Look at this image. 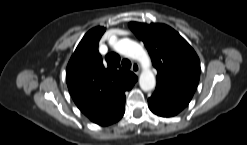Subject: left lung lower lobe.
Returning <instances> with one entry per match:
<instances>
[{"mask_svg": "<svg viewBox=\"0 0 247 145\" xmlns=\"http://www.w3.org/2000/svg\"><path fill=\"white\" fill-rule=\"evenodd\" d=\"M191 98L174 92L163 86H156L153 95L148 99L150 110L161 117H171L182 111Z\"/></svg>", "mask_w": 247, "mask_h": 145, "instance_id": "left-lung-lower-lobe-1", "label": "left lung lower lobe"}]
</instances>
